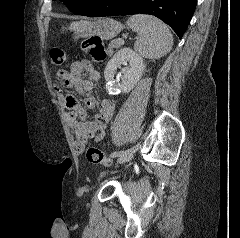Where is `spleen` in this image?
I'll list each match as a JSON object with an SVG mask.
<instances>
[{"instance_id":"1","label":"spleen","mask_w":240,"mask_h":238,"mask_svg":"<svg viewBox=\"0 0 240 238\" xmlns=\"http://www.w3.org/2000/svg\"><path fill=\"white\" fill-rule=\"evenodd\" d=\"M128 27L138 34L135 50L143 57L158 59L171 51L173 36L167 25L149 15H133Z\"/></svg>"}]
</instances>
